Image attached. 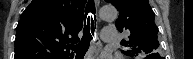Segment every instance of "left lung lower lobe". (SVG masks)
<instances>
[{"mask_svg": "<svg viewBox=\"0 0 193 59\" xmlns=\"http://www.w3.org/2000/svg\"><path fill=\"white\" fill-rule=\"evenodd\" d=\"M146 59H161V57L157 53H154V54L148 55Z\"/></svg>", "mask_w": 193, "mask_h": 59, "instance_id": "left-lung-lower-lobe-1", "label": "left lung lower lobe"}]
</instances>
